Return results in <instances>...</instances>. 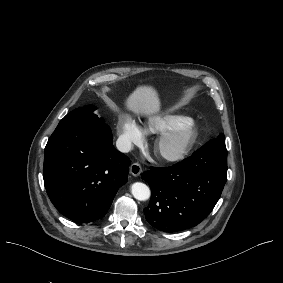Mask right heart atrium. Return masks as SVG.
<instances>
[{
  "instance_id": "obj_1",
  "label": "right heart atrium",
  "mask_w": 283,
  "mask_h": 283,
  "mask_svg": "<svg viewBox=\"0 0 283 283\" xmlns=\"http://www.w3.org/2000/svg\"><path fill=\"white\" fill-rule=\"evenodd\" d=\"M116 137L124 150H130L133 145H141L140 124L130 115L120 113L116 120Z\"/></svg>"
}]
</instances>
